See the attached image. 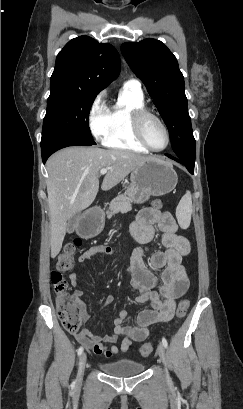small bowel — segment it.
I'll return each instance as SVG.
<instances>
[{
    "label": "small bowel",
    "mask_w": 243,
    "mask_h": 409,
    "mask_svg": "<svg viewBox=\"0 0 243 409\" xmlns=\"http://www.w3.org/2000/svg\"><path fill=\"white\" fill-rule=\"evenodd\" d=\"M156 230L159 231L161 243L165 248L154 251L150 256L153 269H164L159 291L155 290L159 279L146 267L141 248H136L126 259L127 272L131 275V287L138 292L135 301L138 304L149 302L151 309L139 312L136 326L127 325L129 312L126 309L120 310L118 316L113 319L114 329L110 334L95 335L89 330L82 329L76 334L77 340L90 351L112 357L127 351L133 341H144L149 336L150 327L153 324L172 319L176 299L182 297L188 290L190 279L182 265V260L190 253L191 248L189 241L177 233L178 225L173 215L168 211L147 208L138 213L130 227L132 237L140 244L149 243L154 238ZM115 253L111 246L95 245L85 250L78 260L83 263L99 254ZM69 279L72 287L78 286L77 273H71ZM83 294L81 289H76L73 292V298L80 304L84 322H87L89 315L82 302ZM113 300V296H110L107 303ZM120 336L124 337V340L120 346H116L115 343Z\"/></svg>",
    "instance_id": "obj_1"
}]
</instances>
